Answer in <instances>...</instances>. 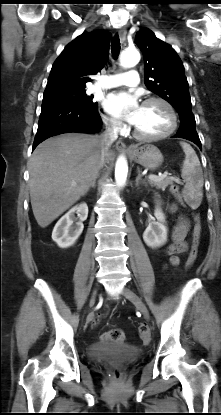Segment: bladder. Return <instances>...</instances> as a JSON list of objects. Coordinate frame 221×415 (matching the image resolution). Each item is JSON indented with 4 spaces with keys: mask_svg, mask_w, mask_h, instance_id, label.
<instances>
[{
    "mask_svg": "<svg viewBox=\"0 0 221 415\" xmlns=\"http://www.w3.org/2000/svg\"><path fill=\"white\" fill-rule=\"evenodd\" d=\"M141 350L133 345L121 342L93 344L88 351L92 361L100 363L126 364L139 358Z\"/></svg>",
    "mask_w": 221,
    "mask_h": 415,
    "instance_id": "obj_1",
    "label": "bladder"
}]
</instances>
